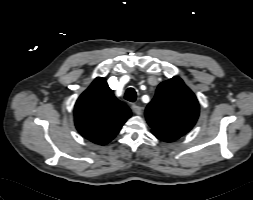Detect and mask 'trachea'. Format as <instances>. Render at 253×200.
I'll return each mask as SVG.
<instances>
[{
  "instance_id": "3493384b",
  "label": "trachea",
  "mask_w": 253,
  "mask_h": 200,
  "mask_svg": "<svg viewBox=\"0 0 253 200\" xmlns=\"http://www.w3.org/2000/svg\"><path fill=\"white\" fill-rule=\"evenodd\" d=\"M136 91L134 88H128L125 93V99L130 102H135L136 100Z\"/></svg>"
}]
</instances>
